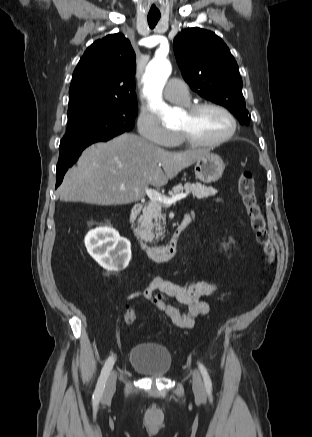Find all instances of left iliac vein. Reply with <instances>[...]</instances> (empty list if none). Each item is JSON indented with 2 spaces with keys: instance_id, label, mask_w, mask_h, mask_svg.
Returning a JSON list of instances; mask_svg holds the SVG:
<instances>
[{
  "instance_id": "obj_1",
  "label": "left iliac vein",
  "mask_w": 312,
  "mask_h": 437,
  "mask_svg": "<svg viewBox=\"0 0 312 437\" xmlns=\"http://www.w3.org/2000/svg\"><path fill=\"white\" fill-rule=\"evenodd\" d=\"M192 381H193V391L195 395L200 398H203L205 396L204 386L197 372H193Z\"/></svg>"
}]
</instances>
